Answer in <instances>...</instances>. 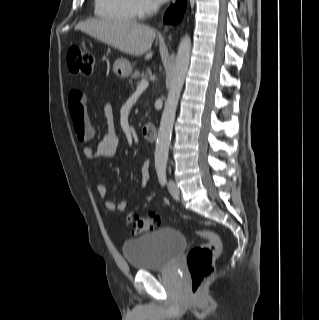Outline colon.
Masks as SVG:
<instances>
[{
  "instance_id": "colon-1",
  "label": "colon",
  "mask_w": 319,
  "mask_h": 320,
  "mask_svg": "<svg viewBox=\"0 0 319 320\" xmlns=\"http://www.w3.org/2000/svg\"><path fill=\"white\" fill-rule=\"evenodd\" d=\"M69 70L77 75H90L94 65V58L90 52L77 47L69 49L67 54ZM75 134L80 142L91 139L92 132L83 124L73 123ZM128 224L131 233L138 235L142 232L156 229L161 224V219L156 214L139 216L130 215ZM197 236L206 240V243L194 246L187 255V266L191 276L190 294L198 296L204 282L214 273L215 259L222 249V241L218 234L209 230H198Z\"/></svg>"
}]
</instances>
